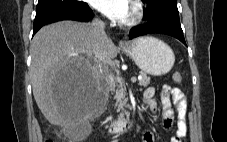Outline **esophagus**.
Masks as SVG:
<instances>
[{
  "label": "esophagus",
  "instance_id": "34e87169",
  "mask_svg": "<svg viewBox=\"0 0 227 142\" xmlns=\"http://www.w3.org/2000/svg\"><path fill=\"white\" fill-rule=\"evenodd\" d=\"M119 46H120V47H125V46H127V43L124 42V41H120V42H119Z\"/></svg>",
  "mask_w": 227,
  "mask_h": 142
}]
</instances>
